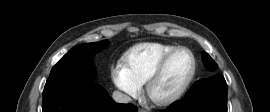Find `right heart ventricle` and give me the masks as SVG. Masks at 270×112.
I'll return each mask as SVG.
<instances>
[{"label":"right heart ventricle","mask_w":270,"mask_h":112,"mask_svg":"<svg viewBox=\"0 0 270 112\" xmlns=\"http://www.w3.org/2000/svg\"><path fill=\"white\" fill-rule=\"evenodd\" d=\"M176 47L158 42L139 44L123 57L124 67L135 82L143 85L161 59Z\"/></svg>","instance_id":"right-heart-ventricle-1"}]
</instances>
